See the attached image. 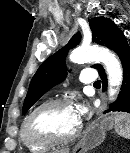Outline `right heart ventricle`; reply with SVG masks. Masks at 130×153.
<instances>
[{"mask_svg": "<svg viewBox=\"0 0 130 153\" xmlns=\"http://www.w3.org/2000/svg\"><path fill=\"white\" fill-rule=\"evenodd\" d=\"M20 140L22 142V144L27 147L29 150L31 151H35V152H42L45 151L46 149H48V145H38V144H34L32 142H30L23 131V125L21 127V131H20Z\"/></svg>", "mask_w": 130, "mask_h": 153, "instance_id": "e07e8e85", "label": "right heart ventricle"}]
</instances>
